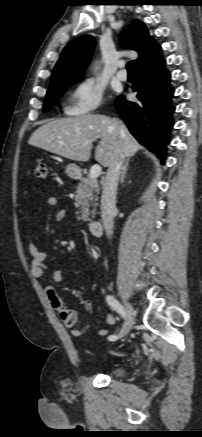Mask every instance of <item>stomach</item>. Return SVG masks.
<instances>
[{
	"mask_svg": "<svg viewBox=\"0 0 202 437\" xmlns=\"http://www.w3.org/2000/svg\"><path fill=\"white\" fill-rule=\"evenodd\" d=\"M65 173L70 178H77L80 175L81 170L76 164H69L66 166Z\"/></svg>",
	"mask_w": 202,
	"mask_h": 437,
	"instance_id": "0dacf381",
	"label": "stomach"
}]
</instances>
